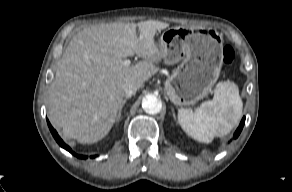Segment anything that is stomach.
I'll return each instance as SVG.
<instances>
[{"label":"stomach","mask_w":292,"mask_h":192,"mask_svg":"<svg viewBox=\"0 0 292 192\" xmlns=\"http://www.w3.org/2000/svg\"><path fill=\"white\" fill-rule=\"evenodd\" d=\"M158 48L166 63H180L165 82L173 104L193 105L212 91L223 62L222 37L217 31L171 27L162 33Z\"/></svg>","instance_id":"stomach-1"}]
</instances>
